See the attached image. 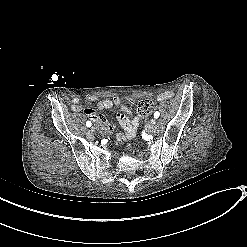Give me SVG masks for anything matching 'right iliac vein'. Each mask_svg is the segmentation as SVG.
Instances as JSON below:
<instances>
[{"label":"right iliac vein","mask_w":247,"mask_h":247,"mask_svg":"<svg viewBox=\"0 0 247 247\" xmlns=\"http://www.w3.org/2000/svg\"><path fill=\"white\" fill-rule=\"evenodd\" d=\"M91 131H92V132L95 131V127H94V126L91 127Z\"/></svg>","instance_id":"1"}]
</instances>
